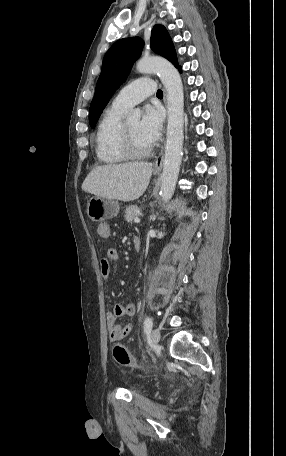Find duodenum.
Masks as SVG:
<instances>
[{"instance_id":"duodenum-1","label":"duodenum","mask_w":286,"mask_h":456,"mask_svg":"<svg viewBox=\"0 0 286 456\" xmlns=\"http://www.w3.org/2000/svg\"><path fill=\"white\" fill-rule=\"evenodd\" d=\"M133 247L135 251H139L141 249V239L138 237H134L132 240Z\"/></svg>"}]
</instances>
